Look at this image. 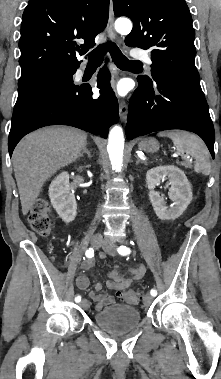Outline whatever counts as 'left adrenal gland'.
I'll return each mask as SVG.
<instances>
[{"label":"left adrenal gland","mask_w":221,"mask_h":379,"mask_svg":"<svg viewBox=\"0 0 221 379\" xmlns=\"http://www.w3.org/2000/svg\"><path fill=\"white\" fill-rule=\"evenodd\" d=\"M137 157V156H136ZM139 163H146L145 161L141 160L139 157H137V161H136V164H139Z\"/></svg>","instance_id":"1"}]
</instances>
